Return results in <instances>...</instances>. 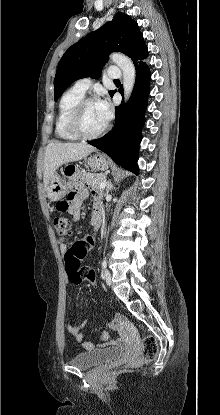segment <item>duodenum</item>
Returning a JSON list of instances; mask_svg holds the SVG:
<instances>
[{"label":"duodenum","mask_w":220,"mask_h":415,"mask_svg":"<svg viewBox=\"0 0 220 415\" xmlns=\"http://www.w3.org/2000/svg\"><path fill=\"white\" fill-rule=\"evenodd\" d=\"M101 220H102V212H98L95 215V219H94L96 229L100 226Z\"/></svg>","instance_id":"obj_1"}]
</instances>
